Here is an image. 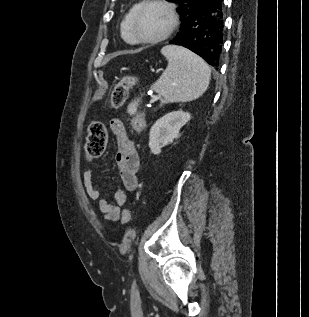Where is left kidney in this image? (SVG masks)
I'll return each instance as SVG.
<instances>
[{"label":"left kidney","instance_id":"obj_1","mask_svg":"<svg viewBox=\"0 0 309 317\" xmlns=\"http://www.w3.org/2000/svg\"><path fill=\"white\" fill-rule=\"evenodd\" d=\"M191 119L187 112L173 111L158 119L150 129L149 147L153 154H160L161 148L178 138L180 129Z\"/></svg>","mask_w":309,"mask_h":317}]
</instances>
